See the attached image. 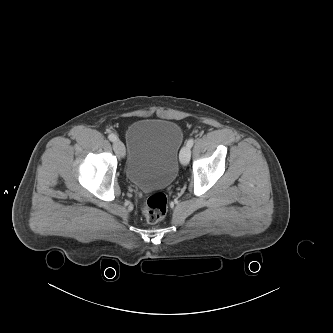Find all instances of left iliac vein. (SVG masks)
Masks as SVG:
<instances>
[{"label": "left iliac vein", "instance_id": "obj_1", "mask_svg": "<svg viewBox=\"0 0 333 333\" xmlns=\"http://www.w3.org/2000/svg\"><path fill=\"white\" fill-rule=\"evenodd\" d=\"M190 156H191L190 147H188V146L182 147L180 154H179V159H180L181 164L187 165L189 163Z\"/></svg>", "mask_w": 333, "mask_h": 333}]
</instances>
